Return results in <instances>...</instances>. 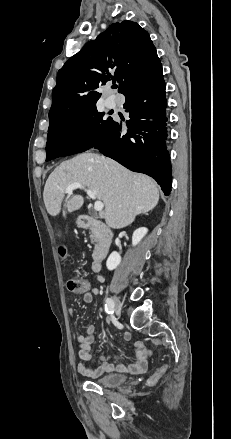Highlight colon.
I'll use <instances>...</instances> for the list:
<instances>
[{
    "mask_svg": "<svg viewBox=\"0 0 231 439\" xmlns=\"http://www.w3.org/2000/svg\"><path fill=\"white\" fill-rule=\"evenodd\" d=\"M59 252H60V255L62 257H66L67 251L63 246L60 247ZM67 287H68L69 291L76 293V294H81L88 289V283L86 280H84L82 278H71L67 282ZM165 370H166L165 367L158 369L153 375H151L148 378V380H147L148 384L155 383L162 376V374L165 372Z\"/></svg>",
    "mask_w": 231,
    "mask_h": 439,
    "instance_id": "1",
    "label": "colon"
}]
</instances>
